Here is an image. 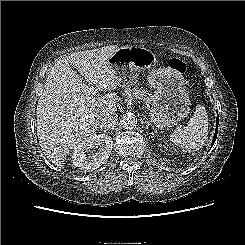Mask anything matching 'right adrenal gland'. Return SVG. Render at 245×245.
<instances>
[{"label":"right adrenal gland","instance_id":"obj_1","mask_svg":"<svg viewBox=\"0 0 245 245\" xmlns=\"http://www.w3.org/2000/svg\"><path fill=\"white\" fill-rule=\"evenodd\" d=\"M102 131L105 132V133L107 132V130H102Z\"/></svg>","mask_w":245,"mask_h":245}]
</instances>
